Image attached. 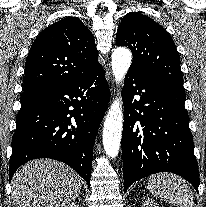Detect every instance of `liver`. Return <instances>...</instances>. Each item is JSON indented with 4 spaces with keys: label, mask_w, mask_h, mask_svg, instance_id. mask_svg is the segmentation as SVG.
Returning <instances> with one entry per match:
<instances>
[{
    "label": "liver",
    "mask_w": 206,
    "mask_h": 207,
    "mask_svg": "<svg viewBox=\"0 0 206 207\" xmlns=\"http://www.w3.org/2000/svg\"><path fill=\"white\" fill-rule=\"evenodd\" d=\"M80 192L79 176L69 166L50 159L24 164L12 179L15 207H63Z\"/></svg>",
    "instance_id": "6515ba94"
}]
</instances>
